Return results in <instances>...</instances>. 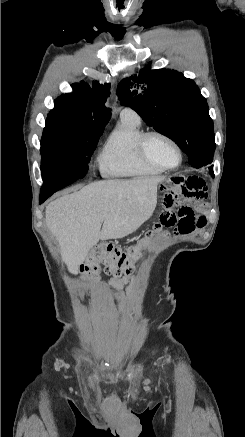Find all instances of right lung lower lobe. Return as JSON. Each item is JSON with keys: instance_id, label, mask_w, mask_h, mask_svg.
I'll return each mask as SVG.
<instances>
[{"instance_id": "98d812e1", "label": "right lung lower lobe", "mask_w": 245, "mask_h": 437, "mask_svg": "<svg viewBox=\"0 0 245 437\" xmlns=\"http://www.w3.org/2000/svg\"><path fill=\"white\" fill-rule=\"evenodd\" d=\"M76 178L63 177V178H50L43 180V185L40 190V201L43 203L48 197H50L56 191L64 188L65 186L76 181Z\"/></svg>"}]
</instances>
